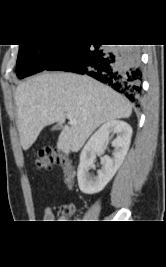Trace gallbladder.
<instances>
[{"mask_svg":"<svg viewBox=\"0 0 166 267\" xmlns=\"http://www.w3.org/2000/svg\"><path fill=\"white\" fill-rule=\"evenodd\" d=\"M62 126L61 125H56L52 128V130H61Z\"/></svg>","mask_w":166,"mask_h":267,"instance_id":"1","label":"gallbladder"}]
</instances>
